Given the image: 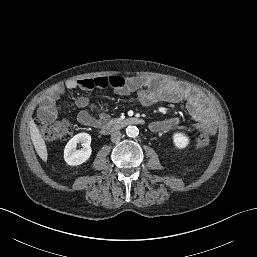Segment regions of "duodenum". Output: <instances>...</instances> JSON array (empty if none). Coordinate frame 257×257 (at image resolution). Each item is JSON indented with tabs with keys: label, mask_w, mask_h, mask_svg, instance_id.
Listing matches in <instances>:
<instances>
[{
	"label": "duodenum",
	"mask_w": 257,
	"mask_h": 257,
	"mask_svg": "<svg viewBox=\"0 0 257 257\" xmlns=\"http://www.w3.org/2000/svg\"><path fill=\"white\" fill-rule=\"evenodd\" d=\"M144 120L139 117H125L108 120L102 124L101 130L104 134H110L116 130L129 125H143Z\"/></svg>",
	"instance_id": "duodenum-1"
}]
</instances>
